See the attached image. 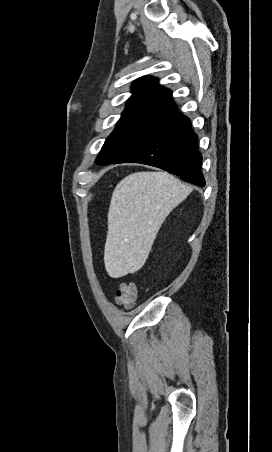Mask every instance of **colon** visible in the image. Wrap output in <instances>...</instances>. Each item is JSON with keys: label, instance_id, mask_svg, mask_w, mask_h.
Here are the masks:
<instances>
[{"label": "colon", "instance_id": "5ec220e1", "mask_svg": "<svg viewBox=\"0 0 272 452\" xmlns=\"http://www.w3.org/2000/svg\"><path fill=\"white\" fill-rule=\"evenodd\" d=\"M137 295V289L133 283L120 284L115 295V302L125 309H131L134 306Z\"/></svg>", "mask_w": 272, "mask_h": 452}]
</instances>
